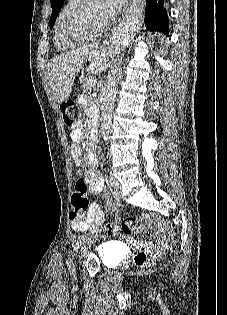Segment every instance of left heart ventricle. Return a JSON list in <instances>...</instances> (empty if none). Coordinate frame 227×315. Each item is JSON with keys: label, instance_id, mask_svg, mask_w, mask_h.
<instances>
[{"label": "left heart ventricle", "instance_id": "left-heart-ventricle-1", "mask_svg": "<svg viewBox=\"0 0 227 315\" xmlns=\"http://www.w3.org/2000/svg\"><path fill=\"white\" fill-rule=\"evenodd\" d=\"M105 25L101 15L98 0H90L79 18L74 21L66 32L71 36H77L81 32H92Z\"/></svg>", "mask_w": 227, "mask_h": 315}]
</instances>
